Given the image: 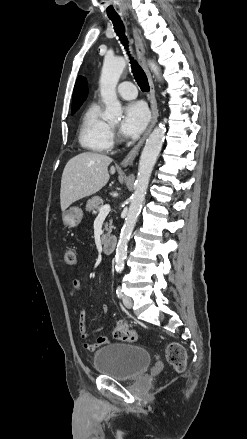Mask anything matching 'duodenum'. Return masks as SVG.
<instances>
[{"instance_id": "410a0bca", "label": "duodenum", "mask_w": 247, "mask_h": 439, "mask_svg": "<svg viewBox=\"0 0 247 439\" xmlns=\"http://www.w3.org/2000/svg\"><path fill=\"white\" fill-rule=\"evenodd\" d=\"M117 240L115 237H108L103 242V251L105 254H112L116 249Z\"/></svg>"}]
</instances>
